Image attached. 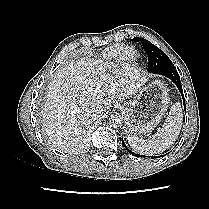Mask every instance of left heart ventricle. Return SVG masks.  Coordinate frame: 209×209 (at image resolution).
I'll return each instance as SVG.
<instances>
[{"instance_id": "left-heart-ventricle-1", "label": "left heart ventricle", "mask_w": 209, "mask_h": 209, "mask_svg": "<svg viewBox=\"0 0 209 209\" xmlns=\"http://www.w3.org/2000/svg\"><path fill=\"white\" fill-rule=\"evenodd\" d=\"M132 55H133V53H132V52H129V53H128V56H132Z\"/></svg>"}]
</instances>
